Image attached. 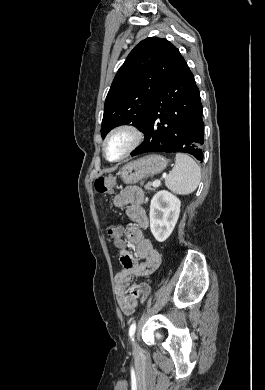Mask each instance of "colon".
Masks as SVG:
<instances>
[{
  "label": "colon",
  "mask_w": 265,
  "mask_h": 390,
  "mask_svg": "<svg viewBox=\"0 0 265 390\" xmlns=\"http://www.w3.org/2000/svg\"><path fill=\"white\" fill-rule=\"evenodd\" d=\"M115 180L110 176H102L95 180L94 186L95 190L101 195L109 194L114 186ZM108 238L117 242L119 239L118 229L115 226H110L107 230ZM149 295V285L147 283H143L140 285L139 296L141 301H145Z\"/></svg>",
  "instance_id": "obj_1"
}]
</instances>
